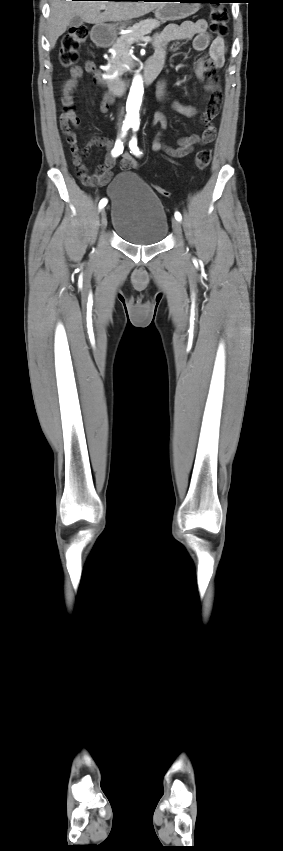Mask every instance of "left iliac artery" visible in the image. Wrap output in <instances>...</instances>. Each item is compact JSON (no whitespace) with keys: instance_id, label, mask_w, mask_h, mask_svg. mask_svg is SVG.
I'll use <instances>...</instances> for the list:
<instances>
[{"instance_id":"left-iliac-artery-1","label":"left iliac artery","mask_w":283,"mask_h":851,"mask_svg":"<svg viewBox=\"0 0 283 851\" xmlns=\"http://www.w3.org/2000/svg\"><path fill=\"white\" fill-rule=\"evenodd\" d=\"M132 128H133V131H134V132H136V131L138 130V128H139V125H138L137 123H135V124H133V125H132ZM129 147H130V149H131V151H132V153H133L134 155H137V156H138V155H140V154H141V152L139 151V148H138V146H137V138H136V136H135V135L132 137V139H131V141H130V143H129ZM175 218H176L178 221H180V220L182 219V216H181V214H180L179 212H176V213H175Z\"/></svg>"}]
</instances>
